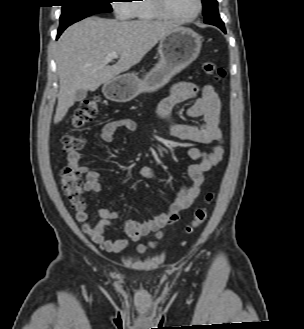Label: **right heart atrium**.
I'll list each match as a JSON object with an SVG mask.
<instances>
[{
	"instance_id": "1",
	"label": "right heart atrium",
	"mask_w": 304,
	"mask_h": 329,
	"mask_svg": "<svg viewBox=\"0 0 304 329\" xmlns=\"http://www.w3.org/2000/svg\"><path fill=\"white\" fill-rule=\"evenodd\" d=\"M112 6L119 19H128L131 17L132 10L129 0H114Z\"/></svg>"
}]
</instances>
